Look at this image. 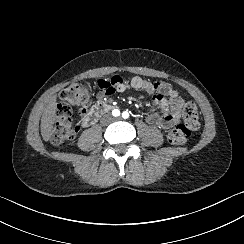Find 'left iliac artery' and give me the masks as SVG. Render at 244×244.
<instances>
[{"instance_id": "obj_1", "label": "left iliac artery", "mask_w": 244, "mask_h": 244, "mask_svg": "<svg viewBox=\"0 0 244 244\" xmlns=\"http://www.w3.org/2000/svg\"><path fill=\"white\" fill-rule=\"evenodd\" d=\"M122 117H123L124 119L129 118V113H128L127 111H124V112L122 113Z\"/></svg>"}]
</instances>
